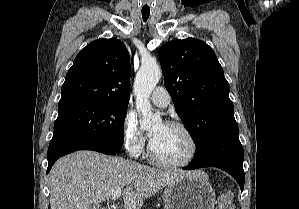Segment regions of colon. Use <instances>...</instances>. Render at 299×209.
Instances as JSON below:
<instances>
[{
    "label": "colon",
    "mask_w": 299,
    "mask_h": 209,
    "mask_svg": "<svg viewBox=\"0 0 299 209\" xmlns=\"http://www.w3.org/2000/svg\"><path fill=\"white\" fill-rule=\"evenodd\" d=\"M217 209H234L229 193H223L220 197Z\"/></svg>",
    "instance_id": "1"
}]
</instances>
